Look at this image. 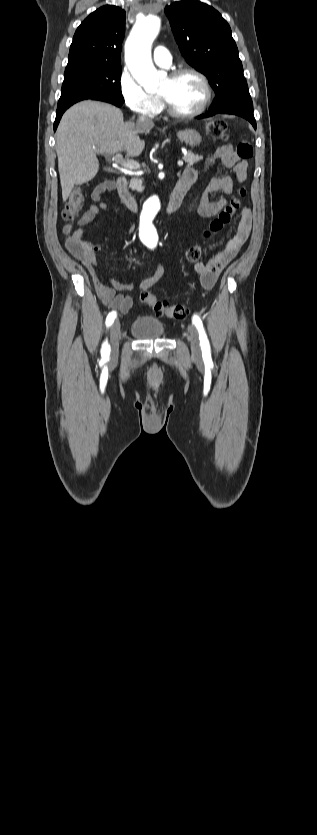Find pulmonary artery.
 <instances>
[{
  "instance_id": "obj_1",
  "label": "pulmonary artery",
  "mask_w": 317,
  "mask_h": 835,
  "mask_svg": "<svg viewBox=\"0 0 317 835\" xmlns=\"http://www.w3.org/2000/svg\"><path fill=\"white\" fill-rule=\"evenodd\" d=\"M153 60L159 66L169 67L172 63V56L166 47L159 45L153 51Z\"/></svg>"
}]
</instances>
